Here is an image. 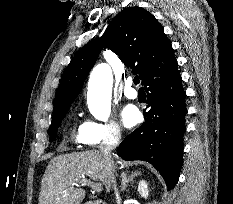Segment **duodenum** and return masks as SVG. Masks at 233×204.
Wrapping results in <instances>:
<instances>
[{"instance_id":"obj_1","label":"duodenum","mask_w":233,"mask_h":204,"mask_svg":"<svg viewBox=\"0 0 233 204\" xmlns=\"http://www.w3.org/2000/svg\"><path fill=\"white\" fill-rule=\"evenodd\" d=\"M85 204H106L105 202L101 201V200H96V201H90L87 202Z\"/></svg>"}]
</instances>
